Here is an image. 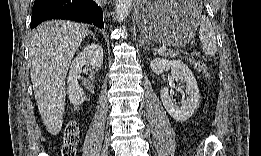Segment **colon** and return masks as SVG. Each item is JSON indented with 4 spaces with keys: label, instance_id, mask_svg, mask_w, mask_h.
Here are the masks:
<instances>
[{
    "label": "colon",
    "instance_id": "5ec220e1",
    "mask_svg": "<svg viewBox=\"0 0 261 156\" xmlns=\"http://www.w3.org/2000/svg\"><path fill=\"white\" fill-rule=\"evenodd\" d=\"M194 66L197 71L203 74H208L206 66L196 61ZM79 142V127L75 121H70L66 124L63 132V144L61 147V153L64 156H73L76 153V147Z\"/></svg>",
    "mask_w": 261,
    "mask_h": 156
}]
</instances>
